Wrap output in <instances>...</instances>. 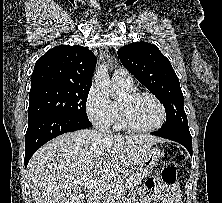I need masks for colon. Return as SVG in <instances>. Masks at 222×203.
<instances>
[{
    "label": "colon",
    "mask_w": 222,
    "mask_h": 203,
    "mask_svg": "<svg viewBox=\"0 0 222 203\" xmlns=\"http://www.w3.org/2000/svg\"><path fill=\"white\" fill-rule=\"evenodd\" d=\"M184 160V154L176 145H167L164 148L162 161L163 169L161 179L165 184H175L177 181V169Z\"/></svg>",
    "instance_id": "5ec220e1"
}]
</instances>
